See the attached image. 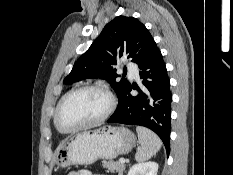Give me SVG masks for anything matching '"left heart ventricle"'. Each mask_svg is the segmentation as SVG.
Here are the masks:
<instances>
[{
	"label": "left heart ventricle",
	"instance_id": "b2bd125f",
	"mask_svg": "<svg viewBox=\"0 0 233 175\" xmlns=\"http://www.w3.org/2000/svg\"><path fill=\"white\" fill-rule=\"evenodd\" d=\"M107 106L108 99L101 91H78L63 102L59 112V124L64 129L77 127L99 117Z\"/></svg>",
	"mask_w": 233,
	"mask_h": 175
}]
</instances>
